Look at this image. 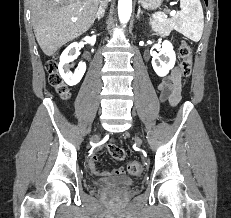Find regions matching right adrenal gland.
<instances>
[{"instance_id":"1","label":"right adrenal gland","mask_w":231,"mask_h":218,"mask_svg":"<svg viewBox=\"0 0 231 218\" xmlns=\"http://www.w3.org/2000/svg\"><path fill=\"white\" fill-rule=\"evenodd\" d=\"M103 17H104V12H103V13H99V14L95 17L94 21H95V20H98V21H99V20L102 19ZM94 21H93V22H94Z\"/></svg>"}]
</instances>
